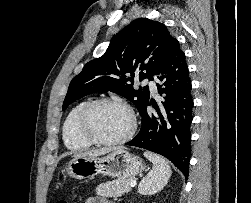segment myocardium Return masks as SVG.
Returning <instances> with one entry per match:
<instances>
[{
  "mask_svg": "<svg viewBox=\"0 0 251 203\" xmlns=\"http://www.w3.org/2000/svg\"><path fill=\"white\" fill-rule=\"evenodd\" d=\"M107 103L117 104L123 107L127 111L130 117V127L128 131L120 138L113 140L100 139L93 133H91V131L89 130V119L92 111L97 106ZM136 128H137V119L133 109L129 104H127L125 101L117 97H102L88 102L81 110L77 119V132L80 135V137H82L85 141L89 142L90 144L99 146H117L123 144L129 141L133 137Z\"/></svg>",
  "mask_w": 251,
  "mask_h": 203,
  "instance_id": "1",
  "label": "myocardium"
}]
</instances>
